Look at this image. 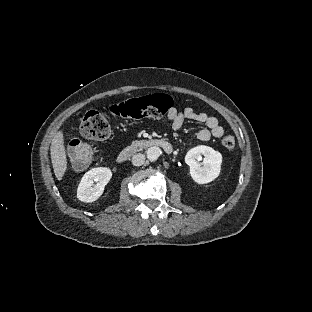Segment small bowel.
I'll return each instance as SVG.
<instances>
[{
  "instance_id": "c3829d8e",
  "label": "small bowel",
  "mask_w": 312,
  "mask_h": 312,
  "mask_svg": "<svg viewBox=\"0 0 312 312\" xmlns=\"http://www.w3.org/2000/svg\"><path fill=\"white\" fill-rule=\"evenodd\" d=\"M166 121L170 130L174 132L180 131L186 121L204 124L206 128L197 133V138L200 141H207L211 137L220 138L224 134V128L217 118L205 112H198L192 107H186L184 109L171 107L166 113Z\"/></svg>"
}]
</instances>
